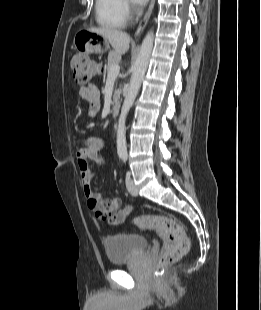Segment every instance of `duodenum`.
I'll return each instance as SVG.
<instances>
[{
    "mask_svg": "<svg viewBox=\"0 0 261 310\" xmlns=\"http://www.w3.org/2000/svg\"><path fill=\"white\" fill-rule=\"evenodd\" d=\"M119 112H120V104L114 103L111 109V116L113 118H116L119 115Z\"/></svg>",
    "mask_w": 261,
    "mask_h": 310,
    "instance_id": "duodenum-1",
    "label": "duodenum"
}]
</instances>
